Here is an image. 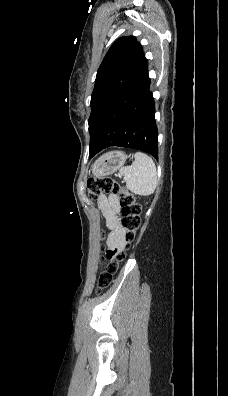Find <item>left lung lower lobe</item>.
<instances>
[{"mask_svg": "<svg viewBox=\"0 0 228 396\" xmlns=\"http://www.w3.org/2000/svg\"><path fill=\"white\" fill-rule=\"evenodd\" d=\"M125 99L129 102L123 110L100 128L98 152L110 146H120L142 150L158 159V130L148 68L119 97L113 108Z\"/></svg>", "mask_w": 228, "mask_h": 396, "instance_id": "1", "label": "left lung lower lobe"}]
</instances>
